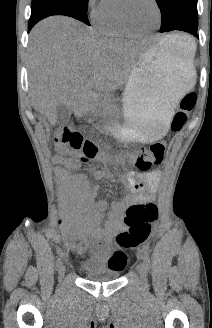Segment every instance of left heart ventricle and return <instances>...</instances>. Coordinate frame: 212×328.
<instances>
[{"mask_svg": "<svg viewBox=\"0 0 212 328\" xmlns=\"http://www.w3.org/2000/svg\"><path fill=\"white\" fill-rule=\"evenodd\" d=\"M124 7L135 27L150 29L157 24L158 15L151 0H125Z\"/></svg>", "mask_w": 212, "mask_h": 328, "instance_id": "b2bd125f", "label": "left heart ventricle"}]
</instances>
